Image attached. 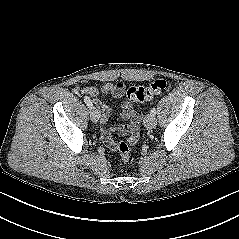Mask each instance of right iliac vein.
Returning a JSON list of instances; mask_svg holds the SVG:
<instances>
[{
    "instance_id": "1",
    "label": "right iliac vein",
    "mask_w": 239,
    "mask_h": 239,
    "mask_svg": "<svg viewBox=\"0 0 239 239\" xmlns=\"http://www.w3.org/2000/svg\"><path fill=\"white\" fill-rule=\"evenodd\" d=\"M90 118L93 122H98L99 118H100V112L97 108L92 107L90 109Z\"/></svg>"
}]
</instances>
